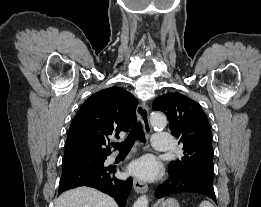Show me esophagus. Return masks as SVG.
Segmentation results:
<instances>
[{"label": "esophagus", "mask_w": 261, "mask_h": 207, "mask_svg": "<svg viewBox=\"0 0 261 207\" xmlns=\"http://www.w3.org/2000/svg\"><path fill=\"white\" fill-rule=\"evenodd\" d=\"M136 114H137V118L142 123L144 130L146 132H150L151 127H150V123H149L148 105L146 103L138 104ZM133 186L137 193H143L148 190V185L145 182H143L139 179H136V178L133 180Z\"/></svg>", "instance_id": "34e87169"}]
</instances>
